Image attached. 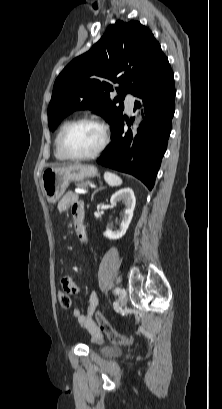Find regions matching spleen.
I'll use <instances>...</instances> for the list:
<instances>
[{"label":"spleen","instance_id":"3e777b00","mask_svg":"<svg viewBox=\"0 0 222 409\" xmlns=\"http://www.w3.org/2000/svg\"><path fill=\"white\" fill-rule=\"evenodd\" d=\"M104 179L107 184L112 187L120 186L122 184V179L118 175L111 172H105Z\"/></svg>","mask_w":222,"mask_h":409}]
</instances>
